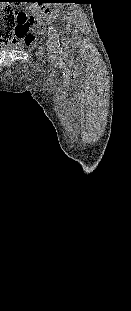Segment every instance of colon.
Segmentation results:
<instances>
[{
	"mask_svg": "<svg viewBox=\"0 0 131 311\" xmlns=\"http://www.w3.org/2000/svg\"><path fill=\"white\" fill-rule=\"evenodd\" d=\"M32 22L33 18L27 17L21 11L0 6V32L3 30V27L7 25L9 29L7 32L8 38H10V33L16 29V27L24 24L26 28H29Z\"/></svg>",
	"mask_w": 131,
	"mask_h": 311,
	"instance_id": "colon-1",
	"label": "colon"
}]
</instances>
